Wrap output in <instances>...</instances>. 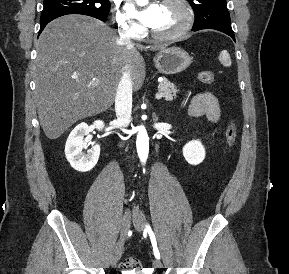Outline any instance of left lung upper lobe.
Masks as SVG:
<instances>
[{"label":"left lung upper lobe","mask_w":289,"mask_h":274,"mask_svg":"<svg viewBox=\"0 0 289 274\" xmlns=\"http://www.w3.org/2000/svg\"><path fill=\"white\" fill-rule=\"evenodd\" d=\"M195 13L193 30L205 28L231 29L226 0H188Z\"/></svg>","instance_id":"left-lung-upper-lobe-1"}]
</instances>
